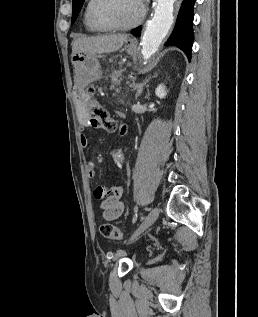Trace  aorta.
Returning a JSON list of instances; mask_svg holds the SVG:
<instances>
[{"mask_svg": "<svg viewBox=\"0 0 258 317\" xmlns=\"http://www.w3.org/2000/svg\"><path fill=\"white\" fill-rule=\"evenodd\" d=\"M176 0H156L154 15L146 23V28L141 39L143 58L149 59L156 53L162 41L168 34L174 20L173 10ZM121 158L122 154L118 153Z\"/></svg>", "mask_w": 258, "mask_h": 317, "instance_id": "obj_1", "label": "aorta"}]
</instances>
